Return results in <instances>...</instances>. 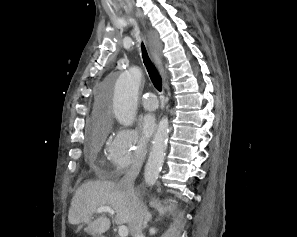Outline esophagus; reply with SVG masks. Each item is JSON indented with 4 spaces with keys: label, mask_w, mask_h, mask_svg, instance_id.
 Segmentation results:
<instances>
[{
    "label": "esophagus",
    "mask_w": 297,
    "mask_h": 237,
    "mask_svg": "<svg viewBox=\"0 0 297 237\" xmlns=\"http://www.w3.org/2000/svg\"><path fill=\"white\" fill-rule=\"evenodd\" d=\"M150 50H151L152 57H153L155 63L158 65L159 70H160V72H161V74H162V76H163V78L165 80L166 75H165V71H164L163 66H162L161 59H160L159 55L157 54L156 50H154L153 48H150Z\"/></svg>",
    "instance_id": "1"
}]
</instances>
